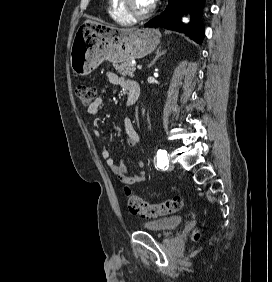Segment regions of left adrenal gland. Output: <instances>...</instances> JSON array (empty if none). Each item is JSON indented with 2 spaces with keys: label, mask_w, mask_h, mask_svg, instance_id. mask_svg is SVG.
I'll list each match as a JSON object with an SVG mask.
<instances>
[{
  "label": "left adrenal gland",
  "mask_w": 272,
  "mask_h": 282,
  "mask_svg": "<svg viewBox=\"0 0 272 282\" xmlns=\"http://www.w3.org/2000/svg\"><path fill=\"white\" fill-rule=\"evenodd\" d=\"M166 53V50L162 51L161 50V47H159L157 50H156V56L155 58L152 60V62L148 65V68L151 67L152 65H154V63L162 56Z\"/></svg>",
  "instance_id": "a2214340"
}]
</instances>
